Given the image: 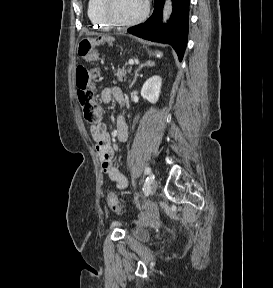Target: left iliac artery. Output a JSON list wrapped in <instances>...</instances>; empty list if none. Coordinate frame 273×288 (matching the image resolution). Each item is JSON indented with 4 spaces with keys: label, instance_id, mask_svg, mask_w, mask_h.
Listing matches in <instances>:
<instances>
[{
    "label": "left iliac artery",
    "instance_id": "left-iliac-artery-1",
    "mask_svg": "<svg viewBox=\"0 0 273 288\" xmlns=\"http://www.w3.org/2000/svg\"><path fill=\"white\" fill-rule=\"evenodd\" d=\"M144 172L146 175H149V177L147 178V181L151 182L154 179V175L151 173V168L150 167L145 168Z\"/></svg>",
    "mask_w": 273,
    "mask_h": 288
}]
</instances>
